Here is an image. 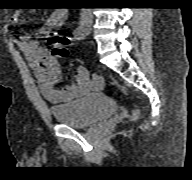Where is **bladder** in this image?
I'll use <instances>...</instances> for the list:
<instances>
[{
  "mask_svg": "<svg viewBox=\"0 0 192 180\" xmlns=\"http://www.w3.org/2000/svg\"><path fill=\"white\" fill-rule=\"evenodd\" d=\"M115 102L108 96L97 93L50 107L51 114L61 124L82 128L113 115Z\"/></svg>",
  "mask_w": 192,
  "mask_h": 180,
  "instance_id": "bladder-1",
  "label": "bladder"
}]
</instances>
